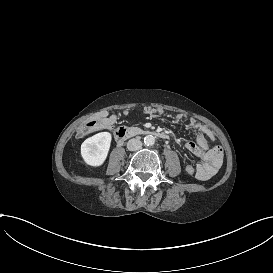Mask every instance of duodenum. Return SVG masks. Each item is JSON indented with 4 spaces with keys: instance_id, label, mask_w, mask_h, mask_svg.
I'll return each mask as SVG.
<instances>
[{
    "instance_id": "obj_1",
    "label": "duodenum",
    "mask_w": 273,
    "mask_h": 273,
    "mask_svg": "<svg viewBox=\"0 0 273 273\" xmlns=\"http://www.w3.org/2000/svg\"><path fill=\"white\" fill-rule=\"evenodd\" d=\"M142 134H152L161 139H168V135L163 131H158V130L146 131L136 127H131V128L120 127L116 131V140L118 143H123L131 137L142 135Z\"/></svg>"
}]
</instances>
